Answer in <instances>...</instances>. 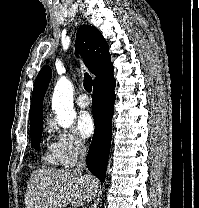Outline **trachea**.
Instances as JSON below:
<instances>
[{
  "mask_svg": "<svg viewBox=\"0 0 199 208\" xmlns=\"http://www.w3.org/2000/svg\"><path fill=\"white\" fill-rule=\"evenodd\" d=\"M84 88L87 92H91L92 91V85H93V81L92 78L89 76L88 73L84 74V82H83Z\"/></svg>",
  "mask_w": 199,
  "mask_h": 208,
  "instance_id": "obj_1",
  "label": "trachea"
}]
</instances>
